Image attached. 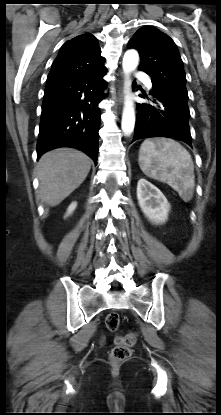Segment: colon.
<instances>
[{"label":"colon","instance_id":"1","mask_svg":"<svg viewBox=\"0 0 221 415\" xmlns=\"http://www.w3.org/2000/svg\"><path fill=\"white\" fill-rule=\"evenodd\" d=\"M105 324L108 330L116 331L120 324V317L117 313H109L105 318ZM137 340V334L131 332L125 336H119L115 340V346L111 350L110 358L114 363L122 362L131 355V347Z\"/></svg>","mask_w":221,"mask_h":415}]
</instances>
